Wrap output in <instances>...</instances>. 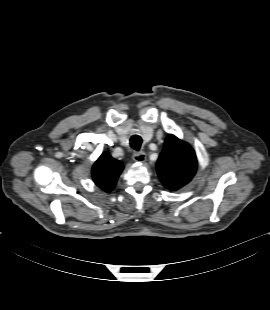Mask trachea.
<instances>
[{
    "label": "trachea",
    "mask_w": 270,
    "mask_h": 310,
    "mask_svg": "<svg viewBox=\"0 0 270 310\" xmlns=\"http://www.w3.org/2000/svg\"><path fill=\"white\" fill-rule=\"evenodd\" d=\"M141 143H142V139L139 135H133L130 138V146H131V148H133L136 151H139V149L141 147Z\"/></svg>",
    "instance_id": "trachea-1"
}]
</instances>
